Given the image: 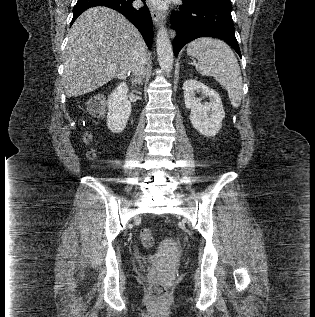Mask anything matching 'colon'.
<instances>
[{"label": "colon", "mask_w": 315, "mask_h": 317, "mask_svg": "<svg viewBox=\"0 0 315 317\" xmlns=\"http://www.w3.org/2000/svg\"><path fill=\"white\" fill-rule=\"evenodd\" d=\"M91 109L95 114H102L103 113V104L100 100H94L91 104ZM85 141H89L90 136L88 134L84 135ZM89 155L93 156L94 152L92 150H89ZM140 240L144 247L146 248H152L154 245V234L152 230L148 228H143L140 231ZM167 295V287L166 285L158 280L153 279L150 281V296L154 300H163Z\"/></svg>", "instance_id": "colon-1"}]
</instances>
